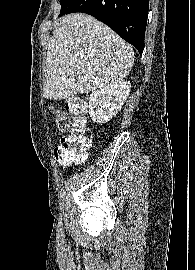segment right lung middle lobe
I'll list each match as a JSON object with an SVG mask.
<instances>
[{
	"label": "right lung middle lobe",
	"mask_w": 195,
	"mask_h": 270,
	"mask_svg": "<svg viewBox=\"0 0 195 270\" xmlns=\"http://www.w3.org/2000/svg\"><path fill=\"white\" fill-rule=\"evenodd\" d=\"M77 0H60L61 10L59 16L66 14Z\"/></svg>",
	"instance_id": "1"
}]
</instances>
